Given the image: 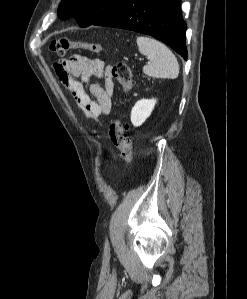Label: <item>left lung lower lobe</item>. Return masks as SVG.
Here are the masks:
<instances>
[{"label":"left lung lower lobe","mask_w":247,"mask_h":299,"mask_svg":"<svg viewBox=\"0 0 247 299\" xmlns=\"http://www.w3.org/2000/svg\"><path fill=\"white\" fill-rule=\"evenodd\" d=\"M92 25L151 35L187 59L186 23L182 18L180 0H121Z\"/></svg>","instance_id":"left-lung-lower-lobe-1"}]
</instances>
